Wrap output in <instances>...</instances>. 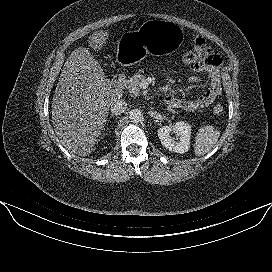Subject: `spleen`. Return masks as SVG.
I'll return each instance as SVG.
<instances>
[{
  "mask_svg": "<svg viewBox=\"0 0 272 272\" xmlns=\"http://www.w3.org/2000/svg\"><path fill=\"white\" fill-rule=\"evenodd\" d=\"M220 137V131L212 125L201 127L197 134L194 143L195 155L200 157L207 154L217 143Z\"/></svg>",
  "mask_w": 272,
  "mask_h": 272,
  "instance_id": "3e777b00",
  "label": "spleen"
}]
</instances>
